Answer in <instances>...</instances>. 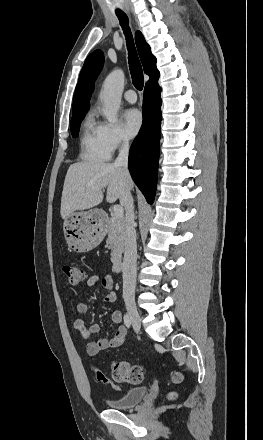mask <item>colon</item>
<instances>
[{
	"label": "colon",
	"instance_id": "5ec220e1",
	"mask_svg": "<svg viewBox=\"0 0 263 440\" xmlns=\"http://www.w3.org/2000/svg\"><path fill=\"white\" fill-rule=\"evenodd\" d=\"M65 276L71 286H79L86 277L85 270L74 264H67L63 267ZM112 379L115 382H125L131 384H137L143 381L146 375V371L143 367L137 364H133L127 361H114L111 364ZM97 380L105 385L115 386L114 383L103 373L98 372L96 374ZM181 376L179 373L172 375V380L175 382L180 381ZM175 393L170 394V398H174Z\"/></svg>",
	"mask_w": 263,
	"mask_h": 440
}]
</instances>
